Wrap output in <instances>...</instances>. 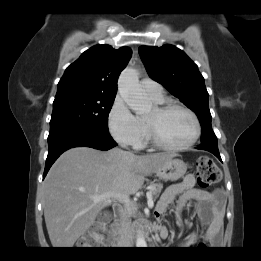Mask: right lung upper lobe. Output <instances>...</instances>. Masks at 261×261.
Returning <instances> with one entry per match:
<instances>
[{"label":"right lung upper lobe","mask_w":261,"mask_h":261,"mask_svg":"<svg viewBox=\"0 0 261 261\" xmlns=\"http://www.w3.org/2000/svg\"><path fill=\"white\" fill-rule=\"evenodd\" d=\"M131 53L126 46L114 49L104 44L89 48L66 69L57 94L115 96L119 74Z\"/></svg>","instance_id":"cb5924a9"}]
</instances>
